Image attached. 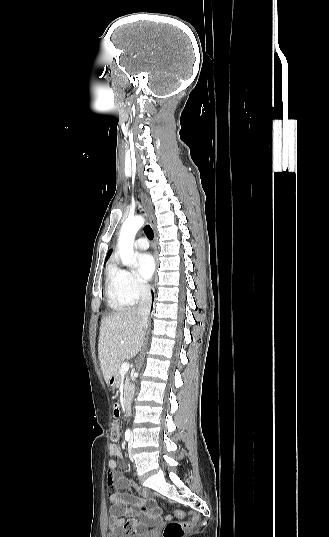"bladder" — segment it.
<instances>
[{
  "label": "bladder",
  "instance_id": "bladder-1",
  "mask_svg": "<svg viewBox=\"0 0 329 537\" xmlns=\"http://www.w3.org/2000/svg\"><path fill=\"white\" fill-rule=\"evenodd\" d=\"M106 537H153V534L150 532L136 534V535H130L126 534L120 531H109L106 535Z\"/></svg>",
  "mask_w": 329,
  "mask_h": 537
}]
</instances>
